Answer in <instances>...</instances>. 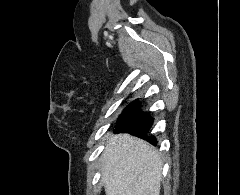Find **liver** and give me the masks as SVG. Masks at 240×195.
<instances>
[{"mask_svg": "<svg viewBox=\"0 0 240 195\" xmlns=\"http://www.w3.org/2000/svg\"><path fill=\"white\" fill-rule=\"evenodd\" d=\"M101 161L106 195H160L162 159L144 139L130 133L111 135Z\"/></svg>", "mask_w": 240, "mask_h": 195, "instance_id": "liver-1", "label": "liver"}]
</instances>
